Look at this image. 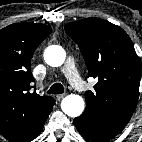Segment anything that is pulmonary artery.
<instances>
[{
    "label": "pulmonary artery",
    "instance_id": "1",
    "mask_svg": "<svg viewBox=\"0 0 142 142\" xmlns=\"http://www.w3.org/2000/svg\"><path fill=\"white\" fill-rule=\"evenodd\" d=\"M62 73L65 75V77L67 78V80L69 81V83L76 89L78 90H83L85 89V83L84 81L81 79L76 65H75V61L72 57H69L66 60V63L64 64L63 68H62Z\"/></svg>",
    "mask_w": 142,
    "mask_h": 142
}]
</instances>
